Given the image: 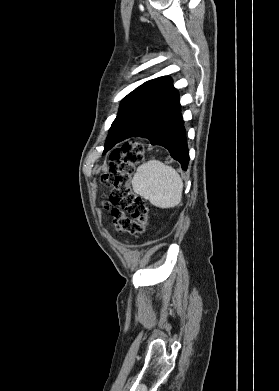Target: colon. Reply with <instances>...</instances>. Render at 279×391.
Returning a JSON list of instances; mask_svg holds the SVG:
<instances>
[{"instance_id": "colon-1", "label": "colon", "mask_w": 279, "mask_h": 391, "mask_svg": "<svg viewBox=\"0 0 279 391\" xmlns=\"http://www.w3.org/2000/svg\"><path fill=\"white\" fill-rule=\"evenodd\" d=\"M144 154L145 149L140 142L123 144L111 154L108 171L103 175V182L111 187L105 206L107 209L112 207L115 229L136 237L146 231L148 223V206L131 188L132 175Z\"/></svg>"}]
</instances>
